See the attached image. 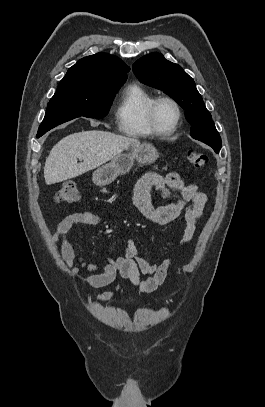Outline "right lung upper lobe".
<instances>
[{"mask_svg":"<svg viewBox=\"0 0 265 407\" xmlns=\"http://www.w3.org/2000/svg\"><path fill=\"white\" fill-rule=\"evenodd\" d=\"M130 68L118 57L97 53L80 59L66 73L63 80L78 82L104 81L123 84Z\"/></svg>","mask_w":265,"mask_h":407,"instance_id":"1","label":"right lung upper lobe"}]
</instances>
